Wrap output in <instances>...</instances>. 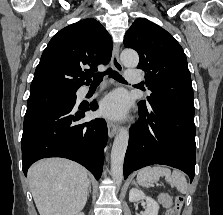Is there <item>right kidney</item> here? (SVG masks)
Returning a JSON list of instances; mask_svg holds the SVG:
<instances>
[{
    "label": "right kidney",
    "instance_id": "ca27d5eb",
    "mask_svg": "<svg viewBox=\"0 0 223 215\" xmlns=\"http://www.w3.org/2000/svg\"><path fill=\"white\" fill-rule=\"evenodd\" d=\"M76 215H84V213L81 211V213H76Z\"/></svg>",
    "mask_w": 223,
    "mask_h": 215
}]
</instances>
